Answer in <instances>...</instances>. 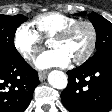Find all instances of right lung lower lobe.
Listing matches in <instances>:
<instances>
[{
  "label": "right lung lower lobe",
  "instance_id": "98d812e1",
  "mask_svg": "<svg viewBox=\"0 0 112 112\" xmlns=\"http://www.w3.org/2000/svg\"><path fill=\"white\" fill-rule=\"evenodd\" d=\"M39 83L37 71L21 56L0 62V112H24Z\"/></svg>",
  "mask_w": 112,
  "mask_h": 112
}]
</instances>
